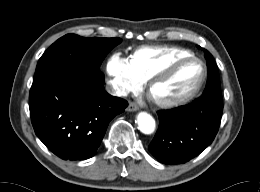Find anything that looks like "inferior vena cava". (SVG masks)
<instances>
[{
	"label": "inferior vena cava",
	"instance_id": "1",
	"mask_svg": "<svg viewBox=\"0 0 260 192\" xmlns=\"http://www.w3.org/2000/svg\"><path fill=\"white\" fill-rule=\"evenodd\" d=\"M106 91L113 96H127L128 91L120 84H117L115 81L110 80L106 85Z\"/></svg>",
	"mask_w": 260,
	"mask_h": 192
}]
</instances>
